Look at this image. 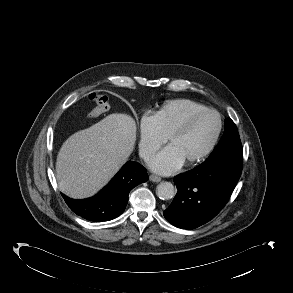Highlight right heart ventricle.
Segmentation results:
<instances>
[{
	"label": "right heart ventricle",
	"mask_w": 293,
	"mask_h": 293,
	"mask_svg": "<svg viewBox=\"0 0 293 293\" xmlns=\"http://www.w3.org/2000/svg\"><path fill=\"white\" fill-rule=\"evenodd\" d=\"M206 107L189 99H174L165 102L153 113L157 127L167 138L191 114L204 110Z\"/></svg>",
	"instance_id": "e07e8e85"
}]
</instances>
